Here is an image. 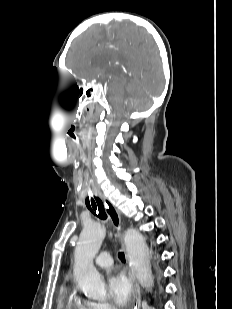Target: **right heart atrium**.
<instances>
[{"label":"right heart atrium","instance_id":"right-heart-atrium-1","mask_svg":"<svg viewBox=\"0 0 232 309\" xmlns=\"http://www.w3.org/2000/svg\"><path fill=\"white\" fill-rule=\"evenodd\" d=\"M87 305L89 309H114L110 303L104 301H91L87 302Z\"/></svg>","mask_w":232,"mask_h":309}]
</instances>
